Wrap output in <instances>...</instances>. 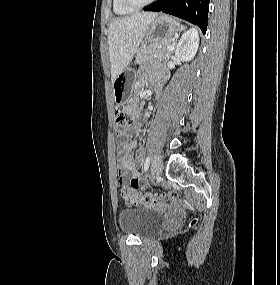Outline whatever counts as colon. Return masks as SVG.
<instances>
[{"instance_id":"5ec220e1","label":"colon","mask_w":280,"mask_h":285,"mask_svg":"<svg viewBox=\"0 0 280 285\" xmlns=\"http://www.w3.org/2000/svg\"><path fill=\"white\" fill-rule=\"evenodd\" d=\"M133 119L130 115L124 113L121 110H117L114 116V132L117 137H121L123 133L131 127ZM122 197L128 204L137 203H149L158 206H169L176 202L178 195L175 192L172 193H155V194H139L136 193L132 187H124L122 189ZM196 223V220L193 221Z\"/></svg>"}]
</instances>
